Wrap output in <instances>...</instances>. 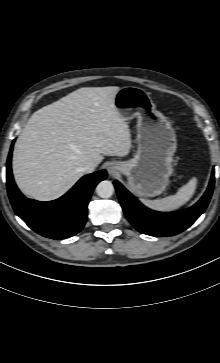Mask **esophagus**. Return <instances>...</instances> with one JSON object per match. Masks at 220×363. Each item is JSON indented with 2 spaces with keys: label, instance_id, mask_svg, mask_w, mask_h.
I'll list each match as a JSON object with an SVG mask.
<instances>
[{
  "label": "esophagus",
  "instance_id": "1",
  "mask_svg": "<svg viewBox=\"0 0 220 363\" xmlns=\"http://www.w3.org/2000/svg\"><path fill=\"white\" fill-rule=\"evenodd\" d=\"M108 172H109V174H111V175H113L115 172L113 171V168H111V167H109L108 168Z\"/></svg>",
  "mask_w": 220,
  "mask_h": 363
}]
</instances>
